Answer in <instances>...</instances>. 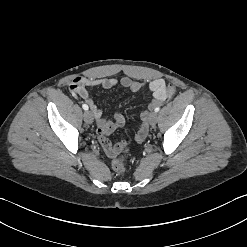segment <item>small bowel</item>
<instances>
[{
    "label": "small bowel",
    "mask_w": 247,
    "mask_h": 247,
    "mask_svg": "<svg viewBox=\"0 0 247 247\" xmlns=\"http://www.w3.org/2000/svg\"><path fill=\"white\" fill-rule=\"evenodd\" d=\"M120 84L122 87L127 88L133 92H138L144 88L152 94V105L159 104L167 98L166 84L162 79H155L149 84H145L140 81L133 80L128 77H123L120 80L110 77L104 78H89V77H76L72 80L70 84V91L73 96L79 98L86 102L96 119V124L98 127V137L105 153L109 157H114L116 155V146L120 143H112L108 140L107 135L113 132L117 127L124 124V116L120 113H116L113 119H106L104 117L103 111L98 107L93 101L92 97L88 92V88L101 87L104 89H111ZM148 133V119L147 112L141 114V123L136 134V141L141 142L145 139ZM103 134V136L101 135Z\"/></svg>",
    "instance_id": "small-bowel-1"
}]
</instances>
